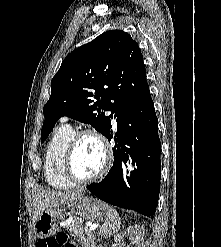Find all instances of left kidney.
I'll list each match as a JSON object with an SVG mask.
<instances>
[{"instance_id": "obj_1", "label": "left kidney", "mask_w": 221, "mask_h": 247, "mask_svg": "<svg viewBox=\"0 0 221 247\" xmlns=\"http://www.w3.org/2000/svg\"><path fill=\"white\" fill-rule=\"evenodd\" d=\"M131 237L132 238V246L135 247H141L143 245L144 241V228L140 225H134L125 230L124 233L118 235L115 238V242L119 245L124 244L125 237Z\"/></svg>"}]
</instances>
